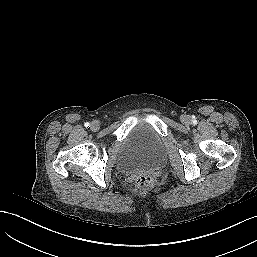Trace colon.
<instances>
[{
	"label": "colon",
	"mask_w": 257,
	"mask_h": 257,
	"mask_svg": "<svg viewBox=\"0 0 257 257\" xmlns=\"http://www.w3.org/2000/svg\"><path fill=\"white\" fill-rule=\"evenodd\" d=\"M154 185L153 177L141 175L136 179V187L140 190L150 189Z\"/></svg>",
	"instance_id": "5ec220e1"
}]
</instances>
